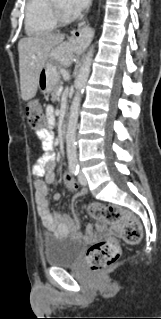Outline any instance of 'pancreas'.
Returning a JSON list of instances; mask_svg holds the SVG:
<instances>
[{
	"label": "pancreas",
	"mask_w": 161,
	"mask_h": 319,
	"mask_svg": "<svg viewBox=\"0 0 161 319\" xmlns=\"http://www.w3.org/2000/svg\"><path fill=\"white\" fill-rule=\"evenodd\" d=\"M59 87H62V83L60 81L57 82V84L55 85V87L52 90V99L53 100L58 99L57 91H58Z\"/></svg>",
	"instance_id": "pancreas-1"
}]
</instances>
